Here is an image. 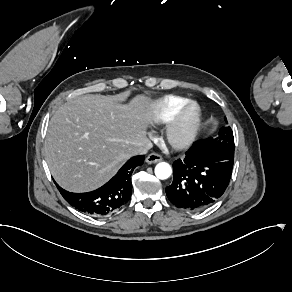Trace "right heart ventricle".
<instances>
[{
  "label": "right heart ventricle",
  "instance_id": "e07e8e85",
  "mask_svg": "<svg viewBox=\"0 0 292 292\" xmlns=\"http://www.w3.org/2000/svg\"><path fill=\"white\" fill-rule=\"evenodd\" d=\"M187 102L188 98L175 94H168L157 99L152 116L153 121L157 124L166 123L167 120Z\"/></svg>",
  "mask_w": 292,
  "mask_h": 292
}]
</instances>
